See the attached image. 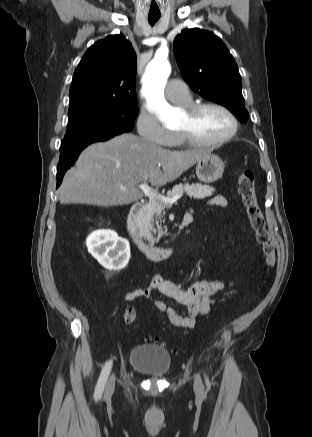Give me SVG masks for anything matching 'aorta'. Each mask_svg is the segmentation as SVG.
<instances>
[{"mask_svg":"<svg viewBox=\"0 0 312 437\" xmlns=\"http://www.w3.org/2000/svg\"><path fill=\"white\" fill-rule=\"evenodd\" d=\"M170 72L171 67L167 59L155 57L147 65L142 78V94L146 97L148 107L164 124L175 120V111L164 97V88Z\"/></svg>","mask_w":312,"mask_h":437,"instance_id":"obj_1","label":"aorta"}]
</instances>
